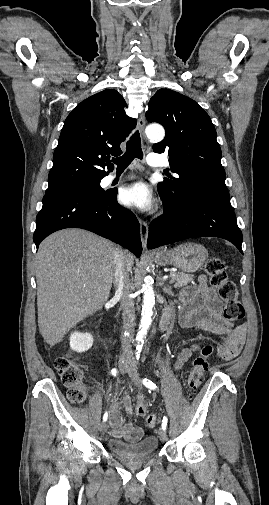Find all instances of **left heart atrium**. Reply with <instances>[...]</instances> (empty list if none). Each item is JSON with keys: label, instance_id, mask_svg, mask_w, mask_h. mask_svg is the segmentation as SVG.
I'll return each mask as SVG.
<instances>
[{"label": "left heart atrium", "instance_id": "obj_1", "mask_svg": "<svg viewBox=\"0 0 269 505\" xmlns=\"http://www.w3.org/2000/svg\"><path fill=\"white\" fill-rule=\"evenodd\" d=\"M120 198L124 205L142 211L149 210L154 203L149 187L143 182H137L125 187Z\"/></svg>", "mask_w": 269, "mask_h": 505}]
</instances>
